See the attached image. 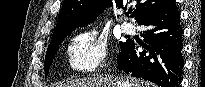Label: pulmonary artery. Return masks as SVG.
<instances>
[{"mask_svg":"<svg viewBox=\"0 0 205 87\" xmlns=\"http://www.w3.org/2000/svg\"><path fill=\"white\" fill-rule=\"evenodd\" d=\"M121 29L125 33H133L135 31L133 24H131L129 22H123L121 24Z\"/></svg>","mask_w":205,"mask_h":87,"instance_id":"1","label":"pulmonary artery"}]
</instances>
